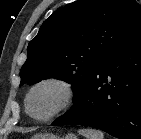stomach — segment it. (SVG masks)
I'll list each match as a JSON object with an SVG mask.
<instances>
[{"instance_id":"0dacf381","label":"stomach","mask_w":141,"mask_h":139,"mask_svg":"<svg viewBox=\"0 0 141 139\" xmlns=\"http://www.w3.org/2000/svg\"><path fill=\"white\" fill-rule=\"evenodd\" d=\"M32 139H77V136L74 134H67L65 137L60 138L59 136L53 134H40L34 136Z\"/></svg>"}]
</instances>
